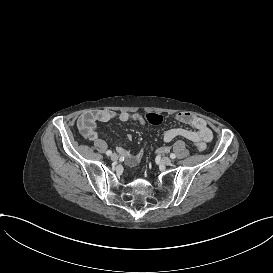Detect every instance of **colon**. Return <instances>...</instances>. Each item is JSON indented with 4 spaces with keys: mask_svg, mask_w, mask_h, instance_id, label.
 <instances>
[{
    "mask_svg": "<svg viewBox=\"0 0 273 273\" xmlns=\"http://www.w3.org/2000/svg\"><path fill=\"white\" fill-rule=\"evenodd\" d=\"M145 119L149 123L154 124V125H160L164 121L163 116L158 113H147V114H145ZM144 155H145V149L143 147H140L138 149V152L136 153V161L142 162Z\"/></svg>",
    "mask_w": 273,
    "mask_h": 273,
    "instance_id": "5ec220e1",
    "label": "colon"
}]
</instances>
